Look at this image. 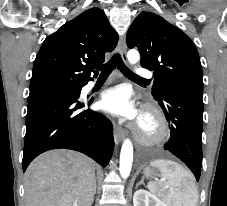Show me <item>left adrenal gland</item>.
Listing matches in <instances>:
<instances>
[{"label": "left adrenal gland", "mask_w": 227, "mask_h": 206, "mask_svg": "<svg viewBox=\"0 0 227 206\" xmlns=\"http://www.w3.org/2000/svg\"><path fill=\"white\" fill-rule=\"evenodd\" d=\"M141 184H143V185H144V178H142V179H141V181H140V182H138V183L136 184V188H137L139 185H141Z\"/></svg>", "instance_id": "obj_1"}]
</instances>
